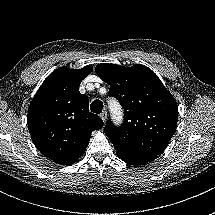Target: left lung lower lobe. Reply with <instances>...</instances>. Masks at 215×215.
<instances>
[{
	"label": "left lung lower lobe",
	"mask_w": 215,
	"mask_h": 215,
	"mask_svg": "<svg viewBox=\"0 0 215 215\" xmlns=\"http://www.w3.org/2000/svg\"><path fill=\"white\" fill-rule=\"evenodd\" d=\"M118 157L123 160L124 162L131 164V165H143L146 164L154 159H140V158H131V157H125L122 155L117 154Z\"/></svg>",
	"instance_id": "0a47b994"
}]
</instances>
